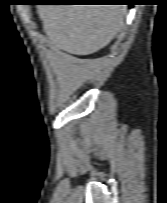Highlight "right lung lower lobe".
I'll use <instances>...</instances> for the list:
<instances>
[{
	"instance_id": "98d812e1",
	"label": "right lung lower lobe",
	"mask_w": 167,
	"mask_h": 203,
	"mask_svg": "<svg viewBox=\"0 0 167 203\" xmlns=\"http://www.w3.org/2000/svg\"><path fill=\"white\" fill-rule=\"evenodd\" d=\"M91 1H93V0H91ZM107 1H115V0H107ZM103 3H112V2H103Z\"/></svg>"
}]
</instances>
